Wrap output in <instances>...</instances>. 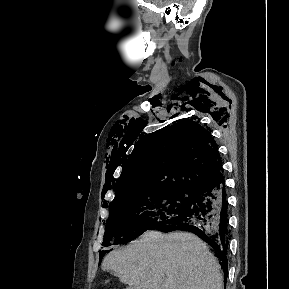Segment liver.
<instances>
[{"label":"liver","mask_w":289,"mask_h":289,"mask_svg":"<svg viewBox=\"0 0 289 289\" xmlns=\"http://www.w3.org/2000/svg\"><path fill=\"white\" fill-rule=\"evenodd\" d=\"M102 269L111 270L127 289H223L217 259L187 232L147 231L109 253Z\"/></svg>","instance_id":"1"}]
</instances>
